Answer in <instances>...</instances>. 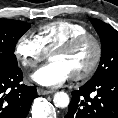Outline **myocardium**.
Segmentation results:
<instances>
[{
  "instance_id": "obj_1",
  "label": "myocardium",
  "mask_w": 118,
  "mask_h": 118,
  "mask_svg": "<svg viewBox=\"0 0 118 118\" xmlns=\"http://www.w3.org/2000/svg\"><path fill=\"white\" fill-rule=\"evenodd\" d=\"M88 41L91 42L94 46V51H95L94 57H93L92 62L90 63V65L87 67V69L84 72L73 74L70 76L71 79L75 81L86 80L90 78L97 70L101 62L102 55H103V46H102L101 40L96 35L86 32L67 40L63 44L56 47L52 52V53H56V52L70 53Z\"/></svg>"
}]
</instances>
